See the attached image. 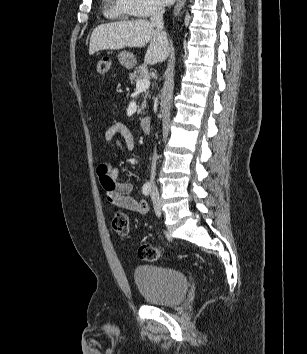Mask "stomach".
<instances>
[{
	"instance_id": "0dacf381",
	"label": "stomach",
	"mask_w": 307,
	"mask_h": 354,
	"mask_svg": "<svg viewBox=\"0 0 307 354\" xmlns=\"http://www.w3.org/2000/svg\"><path fill=\"white\" fill-rule=\"evenodd\" d=\"M119 63L126 69H131L136 65V59L134 55L127 51H122L118 54Z\"/></svg>"
}]
</instances>
